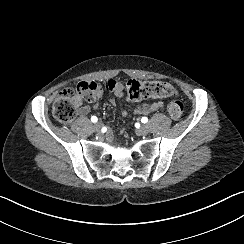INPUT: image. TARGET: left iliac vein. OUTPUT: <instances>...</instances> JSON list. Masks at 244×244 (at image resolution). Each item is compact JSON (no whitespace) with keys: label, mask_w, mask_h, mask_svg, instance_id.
<instances>
[{"label":"left iliac vein","mask_w":244,"mask_h":244,"mask_svg":"<svg viewBox=\"0 0 244 244\" xmlns=\"http://www.w3.org/2000/svg\"><path fill=\"white\" fill-rule=\"evenodd\" d=\"M149 132V128L147 125H143L142 127L139 128L138 134L139 135H147Z\"/></svg>","instance_id":"left-iliac-vein-1"}]
</instances>
